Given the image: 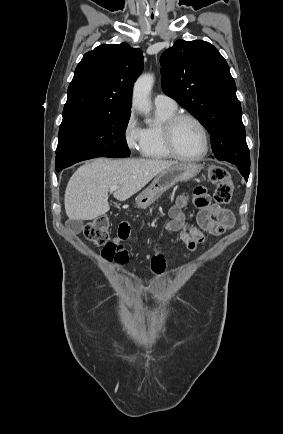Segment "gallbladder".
I'll return each mask as SVG.
<instances>
[{
    "label": "gallbladder",
    "mask_w": 283,
    "mask_h": 434,
    "mask_svg": "<svg viewBox=\"0 0 283 434\" xmlns=\"http://www.w3.org/2000/svg\"><path fill=\"white\" fill-rule=\"evenodd\" d=\"M67 227L73 232V233H80L83 228L84 224L81 220H69L67 222Z\"/></svg>",
    "instance_id": "1"
}]
</instances>
